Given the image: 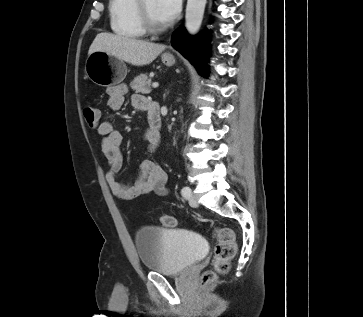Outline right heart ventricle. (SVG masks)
Instances as JSON below:
<instances>
[{
	"mask_svg": "<svg viewBox=\"0 0 363 317\" xmlns=\"http://www.w3.org/2000/svg\"><path fill=\"white\" fill-rule=\"evenodd\" d=\"M136 0H109L110 27L125 38H141L145 35L135 10Z\"/></svg>",
	"mask_w": 363,
	"mask_h": 317,
	"instance_id": "1",
	"label": "right heart ventricle"
}]
</instances>
